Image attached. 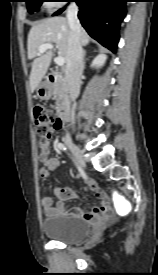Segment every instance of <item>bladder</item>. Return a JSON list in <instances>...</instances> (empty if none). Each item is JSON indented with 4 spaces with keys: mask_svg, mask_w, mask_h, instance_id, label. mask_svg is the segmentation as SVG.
Returning <instances> with one entry per match:
<instances>
[{
    "mask_svg": "<svg viewBox=\"0 0 158 275\" xmlns=\"http://www.w3.org/2000/svg\"><path fill=\"white\" fill-rule=\"evenodd\" d=\"M44 234L52 240L74 243L84 239L90 231L89 222L81 217L51 214L43 220Z\"/></svg>",
    "mask_w": 158,
    "mask_h": 275,
    "instance_id": "31cf9c89",
    "label": "bladder"
}]
</instances>
